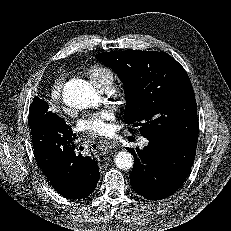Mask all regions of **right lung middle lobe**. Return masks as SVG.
<instances>
[{
	"mask_svg": "<svg viewBox=\"0 0 231 231\" xmlns=\"http://www.w3.org/2000/svg\"><path fill=\"white\" fill-rule=\"evenodd\" d=\"M42 104H44V101L36 96L33 100V103L30 105L29 118H28L29 126H32L33 123L35 122L36 112L38 111V107L41 106Z\"/></svg>",
	"mask_w": 231,
	"mask_h": 231,
	"instance_id": "obj_1",
	"label": "right lung middle lobe"
}]
</instances>
